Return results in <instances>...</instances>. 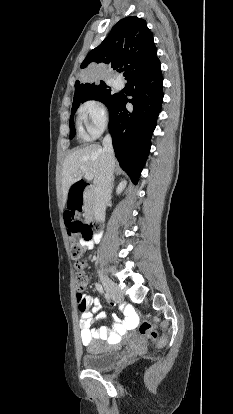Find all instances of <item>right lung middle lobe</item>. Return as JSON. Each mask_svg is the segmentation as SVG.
I'll list each match as a JSON object with an SVG mask.
<instances>
[{
  "instance_id": "obj_1",
  "label": "right lung middle lobe",
  "mask_w": 233,
  "mask_h": 414,
  "mask_svg": "<svg viewBox=\"0 0 233 414\" xmlns=\"http://www.w3.org/2000/svg\"><path fill=\"white\" fill-rule=\"evenodd\" d=\"M118 97L119 94H111V90L108 89V86L106 84H104L88 90L85 93L81 94L77 99H74L70 117V139H72L76 133L73 117L81 103L87 100H99L103 102L109 109Z\"/></svg>"
}]
</instances>
